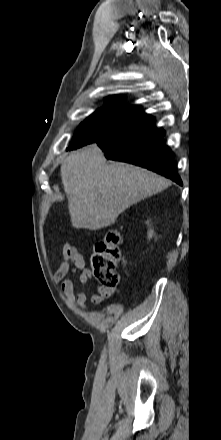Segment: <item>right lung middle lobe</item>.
<instances>
[{
	"label": "right lung middle lobe",
	"instance_id": "dd1d6c3e",
	"mask_svg": "<svg viewBox=\"0 0 221 440\" xmlns=\"http://www.w3.org/2000/svg\"><path fill=\"white\" fill-rule=\"evenodd\" d=\"M134 114L135 112L133 111H122L116 106L107 103L105 107L96 110L80 124L67 150H75L87 144L97 142Z\"/></svg>",
	"mask_w": 221,
	"mask_h": 440
}]
</instances>
